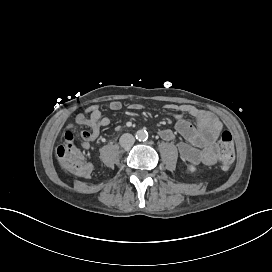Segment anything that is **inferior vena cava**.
Wrapping results in <instances>:
<instances>
[{"label":"inferior vena cava","instance_id":"602c4592","mask_svg":"<svg viewBox=\"0 0 272 272\" xmlns=\"http://www.w3.org/2000/svg\"><path fill=\"white\" fill-rule=\"evenodd\" d=\"M120 145L124 148H130L134 142L135 138L132 134L130 133H124L120 139H119Z\"/></svg>","mask_w":272,"mask_h":272}]
</instances>
